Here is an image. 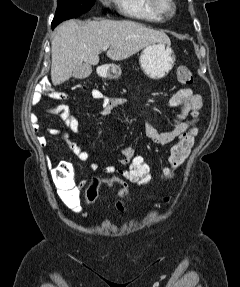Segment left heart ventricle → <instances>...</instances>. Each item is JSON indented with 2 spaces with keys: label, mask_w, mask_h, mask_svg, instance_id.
Wrapping results in <instances>:
<instances>
[{
  "label": "left heart ventricle",
  "mask_w": 240,
  "mask_h": 287,
  "mask_svg": "<svg viewBox=\"0 0 240 287\" xmlns=\"http://www.w3.org/2000/svg\"><path fill=\"white\" fill-rule=\"evenodd\" d=\"M164 6L167 7V8H169V5H168V4H164Z\"/></svg>",
  "instance_id": "1"
}]
</instances>
